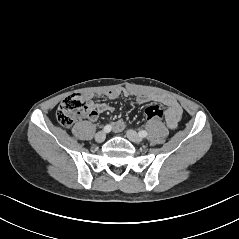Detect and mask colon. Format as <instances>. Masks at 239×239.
Wrapping results in <instances>:
<instances>
[{"label": "colon", "instance_id": "1", "mask_svg": "<svg viewBox=\"0 0 239 239\" xmlns=\"http://www.w3.org/2000/svg\"><path fill=\"white\" fill-rule=\"evenodd\" d=\"M95 106L86 94L75 93L67 96L58 106L56 111L57 121L64 127L71 126L81 116H90L94 113ZM148 119L163 120L165 113L160 106L151 105L145 109Z\"/></svg>", "mask_w": 239, "mask_h": 239}]
</instances>
